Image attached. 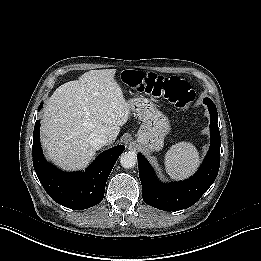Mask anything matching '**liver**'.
<instances>
[{
  "mask_svg": "<svg viewBox=\"0 0 261 261\" xmlns=\"http://www.w3.org/2000/svg\"><path fill=\"white\" fill-rule=\"evenodd\" d=\"M115 73V69L91 70L56 89L41 119L47 159L65 170H78L95 156V136L106 135L109 144L115 141L131 110Z\"/></svg>",
  "mask_w": 261,
  "mask_h": 261,
  "instance_id": "1",
  "label": "liver"
}]
</instances>
